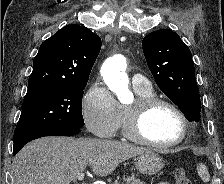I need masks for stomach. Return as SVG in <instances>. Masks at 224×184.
Masks as SVG:
<instances>
[{
  "instance_id": "0dacf381",
  "label": "stomach",
  "mask_w": 224,
  "mask_h": 184,
  "mask_svg": "<svg viewBox=\"0 0 224 184\" xmlns=\"http://www.w3.org/2000/svg\"><path fill=\"white\" fill-rule=\"evenodd\" d=\"M137 170L144 175H154L164 166V161L160 155L152 151L143 153L135 159Z\"/></svg>"
}]
</instances>
